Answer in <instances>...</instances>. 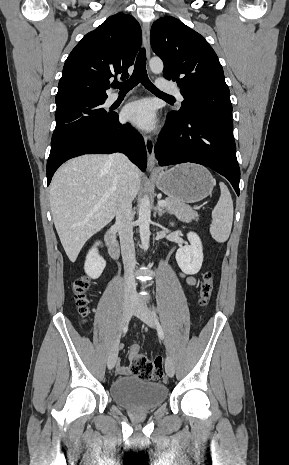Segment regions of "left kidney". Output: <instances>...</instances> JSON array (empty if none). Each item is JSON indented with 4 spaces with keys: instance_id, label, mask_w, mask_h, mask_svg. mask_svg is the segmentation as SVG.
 I'll list each match as a JSON object with an SVG mask.
<instances>
[{
    "instance_id": "1",
    "label": "left kidney",
    "mask_w": 289,
    "mask_h": 465,
    "mask_svg": "<svg viewBox=\"0 0 289 465\" xmlns=\"http://www.w3.org/2000/svg\"><path fill=\"white\" fill-rule=\"evenodd\" d=\"M173 225V223H171ZM189 245L179 248L176 252V261L180 269L188 275L197 274L203 262V248L199 236L194 232L187 234Z\"/></svg>"
}]
</instances>
